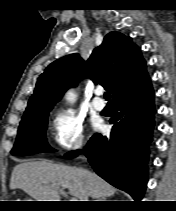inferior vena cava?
I'll return each instance as SVG.
<instances>
[{
    "label": "inferior vena cava",
    "mask_w": 176,
    "mask_h": 211,
    "mask_svg": "<svg viewBox=\"0 0 176 211\" xmlns=\"http://www.w3.org/2000/svg\"><path fill=\"white\" fill-rule=\"evenodd\" d=\"M85 201H89V200H88V197L85 199Z\"/></svg>",
    "instance_id": "1"
}]
</instances>
